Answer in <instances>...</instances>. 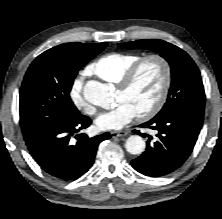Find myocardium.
<instances>
[{"mask_svg":"<svg viewBox=\"0 0 222 219\" xmlns=\"http://www.w3.org/2000/svg\"><path fill=\"white\" fill-rule=\"evenodd\" d=\"M148 61H156L159 63L162 69L163 82L160 93L153 105L147 110L137 114L141 119H150L154 117L162 109L166 102L172 82V68L169 61L160 54H149L143 56L125 72L121 80L118 82L119 89L123 91L128 90L132 86L143 65Z\"/></svg>","mask_w":222,"mask_h":219,"instance_id":"myocardium-1","label":"myocardium"}]
</instances>
